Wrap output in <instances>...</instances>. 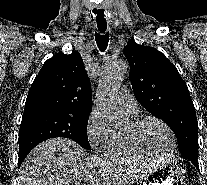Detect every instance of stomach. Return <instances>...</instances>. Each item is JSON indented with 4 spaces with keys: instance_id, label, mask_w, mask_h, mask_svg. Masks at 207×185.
I'll list each match as a JSON object with an SVG mask.
<instances>
[{
    "instance_id": "1",
    "label": "stomach",
    "mask_w": 207,
    "mask_h": 185,
    "mask_svg": "<svg viewBox=\"0 0 207 185\" xmlns=\"http://www.w3.org/2000/svg\"><path fill=\"white\" fill-rule=\"evenodd\" d=\"M141 185H188V172L184 165L171 162L145 178Z\"/></svg>"
}]
</instances>
